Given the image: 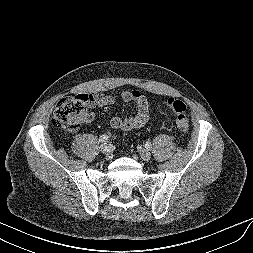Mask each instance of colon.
<instances>
[{
  "label": "colon",
  "instance_id": "colon-1",
  "mask_svg": "<svg viewBox=\"0 0 253 253\" xmlns=\"http://www.w3.org/2000/svg\"><path fill=\"white\" fill-rule=\"evenodd\" d=\"M167 107L174 112L177 127L186 133L189 126L186 105L181 100L171 98L167 101ZM89 108V100L85 95L65 96L57 103L52 123L57 128L74 133L81 123L92 118Z\"/></svg>",
  "mask_w": 253,
  "mask_h": 253
}]
</instances>
